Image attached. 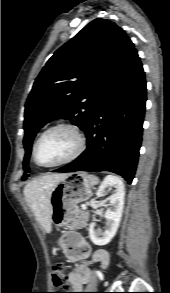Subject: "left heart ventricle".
Listing matches in <instances>:
<instances>
[{
	"instance_id": "1",
	"label": "left heart ventricle",
	"mask_w": 170,
	"mask_h": 293,
	"mask_svg": "<svg viewBox=\"0 0 170 293\" xmlns=\"http://www.w3.org/2000/svg\"><path fill=\"white\" fill-rule=\"evenodd\" d=\"M77 148V138L68 129L57 128L47 133L37 147V159L53 164L70 156Z\"/></svg>"
}]
</instances>
